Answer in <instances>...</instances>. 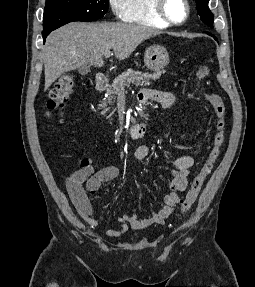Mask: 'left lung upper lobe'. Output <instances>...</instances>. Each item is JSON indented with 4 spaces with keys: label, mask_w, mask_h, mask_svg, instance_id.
Listing matches in <instances>:
<instances>
[{
    "label": "left lung upper lobe",
    "mask_w": 255,
    "mask_h": 287,
    "mask_svg": "<svg viewBox=\"0 0 255 287\" xmlns=\"http://www.w3.org/2000/svg\"><path fill=\"white\" fill-rule=\"evenodd\" d=\"M197 3L198 14L200 15L202 21L209 27L213 28V14L208 8L209 0H195Z\"/></svg>",
    "instance_id": "5c2ea615"
}]
</instances>
